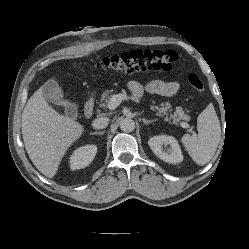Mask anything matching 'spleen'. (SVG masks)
<instances>
[{
    "label": "spleen",
    "instance_id": "spleen-1",
    "mask_svg": "<svg viewBox=\"0 0 249 249\" xmlns=\"http://www.w3.org/2000/svg\"><path fill=\"white\" fill-rule=\"evenodd\" d=\"M197 135H183L181 141L198 165H205L216 152L221 138V127L214 106L210 103L198 116Z\"/></svg>",
    "mask_w": 249,
    "mask_h": 249
}]
</instances>
